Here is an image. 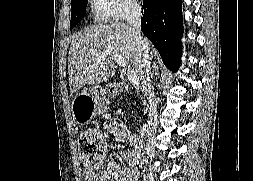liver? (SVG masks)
Here are the masks:
<instances>
[{"mask_svg":"<svg viewBox=\"0 0 253 181\" xmlns=\"http://www.w3.org/2000/svg\"><path fill=\"white\" fill-rule=\"evenodd\" d=\"M146 41L153 62L158 53L147 39ZM103 53L123 56L138 78L142 81L145 79L143 56L132 28L120 22L99 23L86 27L72 39L68 57L71 94L86 84L98 85L114 75V59L111 56L99 58ZM153 66L157 67L155 62Z\"/></svg>","mask_w":253,"mask_h":181,"instance_id":"1","label":"liver"}]
</instances>
